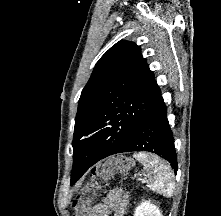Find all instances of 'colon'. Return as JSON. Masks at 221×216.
<instances>
[{
	"mask_svg": "<svg viewBox=\"0 0 221 216\" xmlns=\"http://www.w3.org/2000/svg\"><path fill=\"white\" fill-rule=\"evenodd\" d=\"M133 166V161L127 157H116L105 161L95 169L94 175L97 177L109 176L112 172H127ZM75 209L73 216H88L90 207L89 201L85 199H77L73 202Z\"/></svg>",
	"mask_w": 221,
	"mask_h": 216,
	"instance_id": "colon-1",
	"label": "colon"
}]
</instances>
